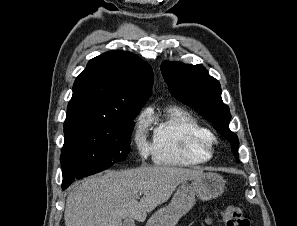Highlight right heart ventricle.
<instances>
[{"label": "right heart ventricle", "mask_w": 297, "mask_h": 226, "mask_svg": "<svg viewBox=\"0 0 297 226\" xmlns=\"http://www.w3.org/2000/svg\"><path fill=\"white\" fill-rule=\"evenodd\" d=\"M154 122L153 156L158 164L191 167L213 157L215 136L212 131L181 108H169L161 118L149 115Z\"/></svg>", "instance_id": "obj_1"}]
</instances>
